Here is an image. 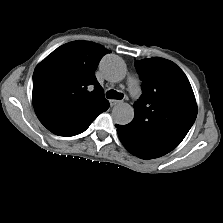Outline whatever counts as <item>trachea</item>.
I'll list each match as a JSON object with an SVG mask.
<instances>
[{"mask_svg": "<svg viewBox=\"0 0 223 223\" xmlns=\"http://www.w3.org/2000/svg\"><path fill=\"white\" fill-rule=\"evenodd\" d=\"M106 97H107L108 99H117V100H121V99L123 98V94L117 92L116 90L111 89V90L107 91V93H106Z\"/></svg>", "mask_w": 223, "mask_h": 223, "instance_id": "1", "label": "trachea"}]
</instances>
